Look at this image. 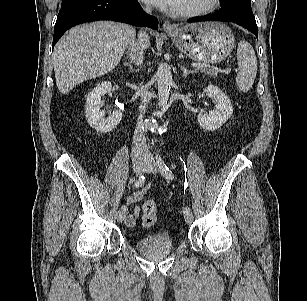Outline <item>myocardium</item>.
I'll return each instance as SVG.
<instances>
[{
  "mask_svg": "<svg viewBox=\"0 0 307 301\" xmlns=\"http://www.w3.org/2000/svg\"><path fill=\"white\" fill-rule=\"evenodd\" d=\"M220 2L221 0H207L205 4L197 8L174 10V15L183 18H193V17L207 15L215 11L219 7Z\"/></svg>",
  "mask_w": 307,
  "mask_h": 301,
  "instance_id": "myocardium-1",
  "label": "myocardium"
}]
</instances>
